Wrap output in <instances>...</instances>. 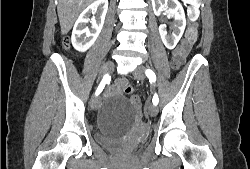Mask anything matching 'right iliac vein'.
I'll use <instances>...</instances> for the list:
<instances>
[{
	"mask_svg": "<svg viewBox=\"0 0 250 169\" xmlns=\"http://www.w3.org/2000/svg\"><path fill=\"white\" fill-rule=\"evenodd\" d=\"M114 68L113 62L104 63L101 67L98 80H101L109 71H112ZM90 106L92 110H96L99 106V99L96 96H93L90 101Z\"/></svg>",
	"mask_w": 250,
	"mask_h": 169,
	"instance_id": "right-iliac-vein-1",
	"label": "right iliac vein"
}]
</instances>
